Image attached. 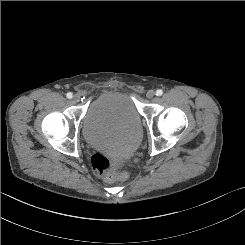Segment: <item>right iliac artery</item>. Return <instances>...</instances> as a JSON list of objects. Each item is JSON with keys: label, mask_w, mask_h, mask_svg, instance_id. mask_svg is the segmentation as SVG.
<instances>
[{"label": "right iliac artery", "mask_w": 245, "mask_h": 245, "mask_svg": "<svg viewBox=\"0 0 245 245\" xmlns=\"http://www.w3.org/2000/svg\"><path fill=\"white\" fill-rule=\"evenodd\" d=\"M66 96H67V98H69V99H71V98L73 97V95H72L71 92H68V93L66 94Z\"/></svg>", "instance_id": "82829eb1"}]
</instances>
